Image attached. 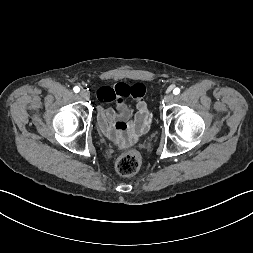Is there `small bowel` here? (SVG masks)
I'll list each match as a JSON object with an SVG mask.
<instances>
[{
  "instance_id": "small-bowel-1",
  "label": "small bowel",
  "mask_w": 253,
  "mask_h": 253,
  "mask_svg": "<svg viewBox=\"0 0 253 253\" xmlns=\"http://www.w3.org/2000/svg\"><path fill=\"white\" fill-rule=\"evenodd\" d=\"M145 92V86L140 83H118L114 87L105 86L97 91L100 101L117 102L116 109H104L99 106L97 113L101 131L119 148L133 143L150 126L151 116L144 98ZM128 97L136 101L135 109L126 103Z\"/></svg>"
}]
</instances>
